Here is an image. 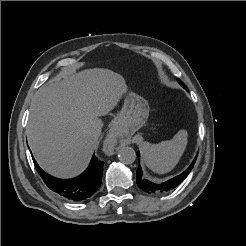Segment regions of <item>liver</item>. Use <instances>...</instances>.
I'll return each mask as SVG.
<instances>
[{"label": "liver", "mask_w": 246, "mask_h": 246, "mask_svg": "<svg viewBox=\"0 0 246 246\" xmlns=\"http://www.w3.org/2000/svg\"><path fill=\"white\" fill-rule=\"evenodd\" d=\"M127 92L124 78L107 69L63 74L34 96L27 125L29 146L48 173L70 178L87 166L98 136L92 123L115 108Z\"/></svg>", "instance_id": "liver-1"}]
</instances>
